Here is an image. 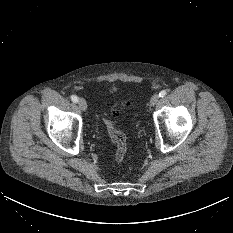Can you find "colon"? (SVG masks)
Listing matches in <instances>:
<instances>
[{"instance_id": "5ec220e1", "label": "colon", "mask_w": 233, "mask_h": 233, "mask_svg": "<svg viewBox=\"0 0 233 233\" xmlns=\"http://www.w3.org/2000/svg\"><path fill=\"white\" fill-rule=\"evenodd\" d=\"M126 105H129V103H126ZM105 126L107 128L109 137L114 142L116 149H115V159L118 162H122L126 156L127 152V141L126 137L123 132L118 130L114 123L109 120H104Z\"/></svg>"}]
</instances>
